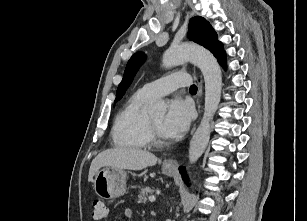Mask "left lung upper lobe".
<instances>
[{
	"label": "left lung upper lobe",
	"mask_w": 307,
	"mask_h": 221,
	"mask_svg": "<svg viewBox=\"0 0 307 221\" xmlns=\"http://www.w3.org/2000/svg\"><path fill=\"white\" fill-rule=\"evenodd\" d=\"M188 38L210 50L217 60L225 56L223 45L218 41L215 30L208 21L200 16L191 18L189 22ZM144 60L145 54L142 52H137L130 58L125 68L123 79L118 86L114 103L122 98Z\"/></svg>",
	"instance_id": "1"
}]
</instances>
